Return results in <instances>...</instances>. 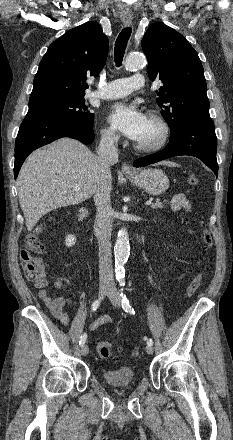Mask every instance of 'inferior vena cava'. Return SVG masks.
<instances>
[{"label": "inferior vena cava", "mask_w": 233, "mask_h": 440, "mask_svg": "<svg viewBox=\"0 0 233 440\" xmlns=\"http://www.w3.org/2000/svg\"><path fill=\"white\" fill-rule=\"evenodd\" d=\"M118 137L114 133L101 136L98 147V157L104 172L110 171V166L118 162ZM111 186L103 181L94 196L97 215L94 224V233L99 245V278L100 284L113 286L114 277L111 261V231L113 210L111 207Z\"/></svg>", "instance_id": "inferior-vena-cava-1"}]
</instances>
